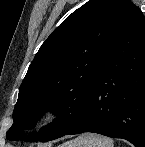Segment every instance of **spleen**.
I'll list each match as a JSON object with an SVG mask.
<instances>
[{"label":"spleen","instance_id":"3e777b00","mask_svg":"<svg viewBox=\"0 0 145 147\" xmlns=\"http://www.w3.org/2000/svg\"><path fill=\"white\" fill-rule=\"evenodd\" d=\"M66 147H114V145L113 141L108 137L87 133L68 142Z\"/></svg>","mask_w":145,"mask_h":147}]
</instances>
